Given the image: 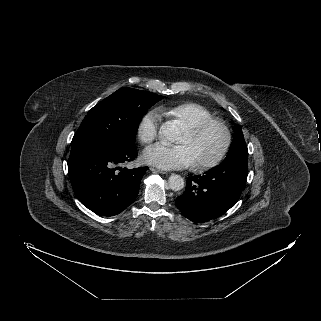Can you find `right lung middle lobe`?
<instances>
[{
  "instance_id": "dd1d6c3e",
  "label": "right lung middle lobe",
  "mask_w": 321,
  "mask_h": 321,
  "mask_svg": "<svg viewBox=\"0 0 321 321\" xmlns=\"http://www.w3.org/2000/svg\"><path fill=\"white\" fill-rule=\"evenodd\" d=\"M163 97L151 92L121 88L98 103L83 119L71 146L96 143L113 147L135 146L144 113Z\"/></svg>"
}]
</instances>
